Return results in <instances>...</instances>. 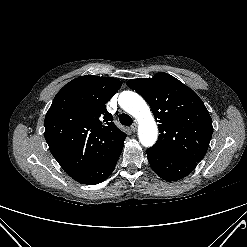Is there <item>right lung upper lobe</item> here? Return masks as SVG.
I'll use <instances>...</instances> for the list:
<instances>
[{"instance_id":"1","label":"right lung upper lobe","mask_w":247,"mask_h":247,"mask_svg":"<svg viewBox=\"0 0 247 247\" xmlns=\"http://www.w3.org/2000/svg\"><path fill=\"white\" fill-rule=\"evenodd\" d=\"M121 85L116 78L85 75L67 83L55 96L44 121L45 139L73 179L123 146L126 134L115 126L105 107Z\"/></svg>"}]
</instances>
